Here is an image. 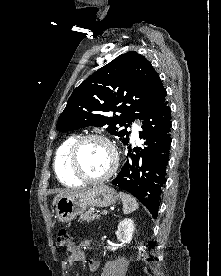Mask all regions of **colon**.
Segmentation results:
<instances>
[{
	"label": "colon",
	"instance_id": "obj_1",
	"mask_svg": "<svg viewBox=\"0 0 221 276\" xmlns=\"http://www.w3.org/2000/svg\"><path fill=\"white\" fill-rule=\"evenodd\" d=\"M56 243L59 247L70 249L73 244L69 233L65 229H61L58 233Z\"/></svg>",
	"mask_w": 221,
	"mask_h": 276
}]
</instances>
